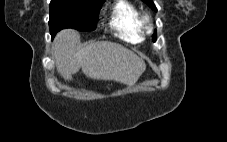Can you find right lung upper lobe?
Here are the masks:
<instances>
[{
    "mask_svg": "<svg viewBox=\"0 0 227 142\" xmlns=\"http://www.w3.org/2000/svg\"><path fill=\"white\" fill-rule=\"evenodd\" d=\"M92 1H104V0H92Z\"/></svg>",
    "mask_w": 227,
    "mask_h": 142,
    "instance_id": "1",
    "label": "right lung upper lobe"
}]
</instances>
